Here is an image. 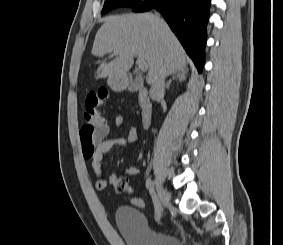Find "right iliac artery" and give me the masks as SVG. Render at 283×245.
<instances>
[{
	"label": "right iliac artery",
	"instance_id": "1",
	"mask_svg": "<svg viewBox=\"0 0 283 245\" xmlns=\"http://www.w3.org/2000/svg\"><path fill=\"white\" fill-rule=\"evenodd\" d=\"M146 187L149 190L150 195H151L152 200H153V203H154L155 219L157 221H159L160 218H161V210H162L161 202H160V199L158 198V196H157V194L155 192L154 184H153V182H152V180L150 178H148L146 180Z\"/></svg>",
	"mask_w": 283,
	"mask_h": 245
}]
</instances>
